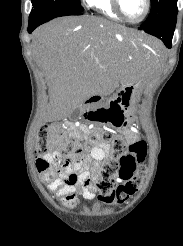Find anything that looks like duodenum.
I'll return each mask as SVG.
<instances>
[{
  "instance_id": "duodenum-1",
  "label": "duodenum",
  "mask_w": 183,
  "mask_h": 246,
  "mask_svg": "<svg viewBox=\"0 0 183 246\" xmlns=\"http://www.w3.org/2000/svg\"><path fill=\"white\" fill-rule=\"evenodd\" d=\"M99 100H100L99 96H91L90 97V102H96V101H99Z\"/></svg>"
}]
</instances>
